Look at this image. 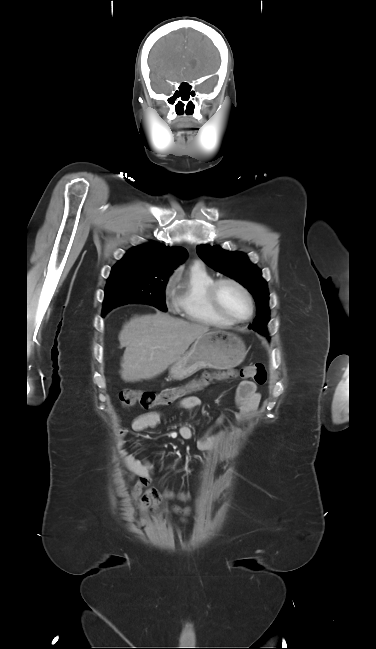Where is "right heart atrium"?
<instances>
[{"label": "right heart atrium", "mask_w": 376, "mask_h": 649, "mask_svg": "<svg viewBox=\"0 0 376 649\" xmlns=\"http://www.w3.org/2000/svg\"><path fill=\"white\" fill-rule=\"evenodd\" d=\"M165 298H166V302H167L168 306L172 307L174 305V296H173V294H172V292L170 290L169 285H167V287H166Z\"/></svg>", "instance_id": "1"}]
</instances>
